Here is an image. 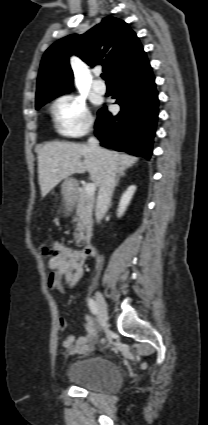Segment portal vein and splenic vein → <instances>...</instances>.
I'll use <instances>...</instances> for the list:
<instances>
[{
	"mask_svg": "<svg viewBox=\"0 0 208 425\" xmlns=\"http://www.w3.org/2000/svg\"><path fill=\"white\" fill-rule=\"evenodd\" d=\"M95 190H96V186L94 183H89L86 185V193L89 196H94Z\"/></svg>",
	"mask_w": 208,
	"mask_h": 425,
	"instance_id": "obj_1",
	"label": "portal vein and splenic vein"
}]
</instances>
